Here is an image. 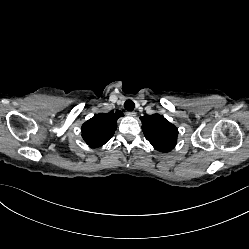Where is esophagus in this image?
I'll return each mask as SVG.
<instances>
[{
	"label": "esophagus",
	"mask_w": 249,
	"mask_h": 249,
	"mask_svg": "<svg viewBox=\"0 0 249 249\" xmlns=\"http://www.w3.org/2000/svg\"><path fill=\"white\" fill-rule=\"evenodd\" d=\"M127 115L130 117H136V112H127Z\"/></svg>",
	"instance_id": "34e87169"
}]
</instances>
